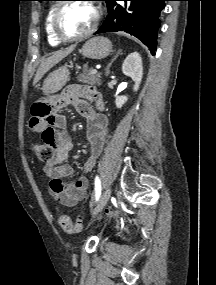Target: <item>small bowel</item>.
<instances>
[{"label":"small bowel","mask_w":216,"mask_h":285,"mask_svg":"<svg viewBox=\"0 0 216 285\" xmlns=\"http://www.w3.org/2000/svg\"><path fill=\"white\" fill-rule=\"evenodd\" d=\"M89 101H94L99 111L104 109L101 94L93 86L76 84L67 87L51 102H34L31 109L32 132L40 136L43 144H49L54 150L53 158L43 166V171L49 178V193L55 200L68 207L85 198L89 182L86 176L70 179L74 171L68 164V159L73 142L65 132L67 118L58 110L72 105L86 119V135L91 156L85 162L84 169L90 172L103 151L108 120L103 113H97Z\"/></svg>","instance_id":"small-bowel-1"}]
</instances>
